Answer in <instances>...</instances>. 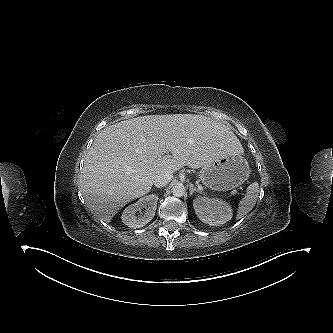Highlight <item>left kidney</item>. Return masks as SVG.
Listing matches in <instances>:
<instances>
[{"mask_svg":"<svg viewBox=\"0 0 333 333\" xmlns=\"http://www.w3.org/2000/svg\"><path fill=\"white\" fill-rule=\"evenodd\" d=\"M193 207L197 217L210 226L222 225L233 216L231 205L221 199L196 197Z\"/></svg>","mask_w":333,"mask_h":333,"instance_id":"1","label":"left kidney"}]
</instances>
